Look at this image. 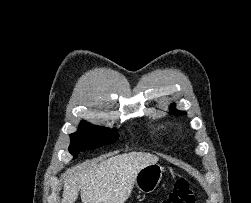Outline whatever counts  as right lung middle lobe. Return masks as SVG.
Returning <instances> with one entry per match:
<instances>
[{
    "instance_id": "1",
    "label": "right lung middle lobe",
    "mask_w": 251,
    "mask_h": 203,
    "mask_svg": "<svg viewBox=\"0 0 251 203\" xmlns=\"http://www.w3.org/2000/svg\"><path fill=\"white\" fill-rule=\"evenodd\" d=\"M119 138L117 129H105L82 122L79 130L70 135L69 152L77 157L80 151L93 150L108 143H115Z\"/></svg>"
}]
</instances>
